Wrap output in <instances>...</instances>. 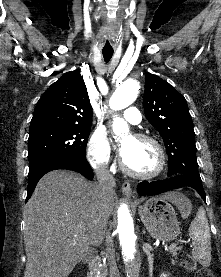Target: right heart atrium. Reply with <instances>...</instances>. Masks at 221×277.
I'll list each match as a JSON object with an SVG mask.
<instances>
[{
  "label": "right heart atrium",
  "instance_id": "d8ad5b80",
  "mask_svg": "<svg viewBox=\"0 0 221 277\" xmlns=\"http://www.w3.org/2000/svg\"><path fill=\"white\" fill-rule=\"evenodd\" d=\"M87 157L91 166L101 172L112 169L113 156L111 142L105 132L95 131L88 142Z\"/></svg>",
  "mask_w": 221,
  "mask_h": 277
}]
</instances>
